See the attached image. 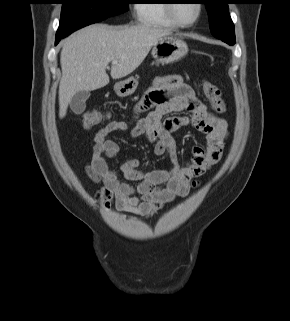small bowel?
Segmentation results:
<instances>
[{"label": "small bowel", "mask_w": 290, "mask_h": 321, "mask_svg": "<svg viewBox=\"0 0 290 321\" xmlns=\"http://www.w3.org/2000/svg\"><path fill=\"white\" fill-rule=\"evenodd\" d=\"M148 111L145 116L141 113ZM188 112L187 116H171ZM135 121L130 129L132 137L144 136L154 143L156 156L166 155L169 169H141L139 160L128 158L119 171L132 185L119 179L118 171L106 158L115 157L120 148L108 136L128 129L126 122L110 121L99 128L91 140V158L85 165L88 177L101 186L99 201L106 210L112 205L119 211L139 216H151L176 197L186 196L196 179L215 165L221 157L229 135L227 121L216 116L195 95L194 90L179 75L161 76L135 106ZM194 126L207 136L206 149L195 146L192 159L182 162L173 133L183 127ZM105 156V157H104Z\"/></svg>", "instance_id": "c3829d8e"}]
</instances>
